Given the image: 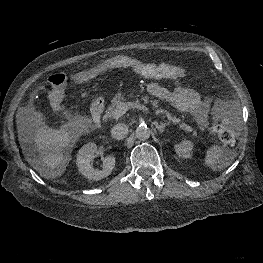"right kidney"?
I'll return each mask as SVG.
<instances>
[{
	"label": "right kidney",
	"instance_id": "obj_1",
	"mask_svg": "<svg viewBox=\"0 0 263 263\" xmlns=\"http://www.w3.org/2000/svg\"><path fill=\"white\" fill-rule=\"evenodd\" d=\"M97 152L95 143L85 144L77 154V166L81 174L90 180H101L109 176L115 167V158L111 155L103 158V169H94L91 165L92 160Z\"/></svg>",
	"mask_w": 263,
	"mask_h": 263
}]
</instances>
